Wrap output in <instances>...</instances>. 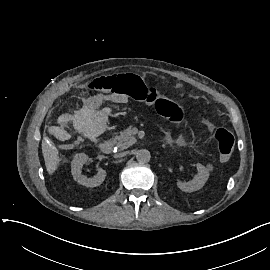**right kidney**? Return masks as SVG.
<instances>
[{"mask_svg":"<svg viewBox=\"0 0 270 270\" xmlns=\"http://www.w3.org/2000/svg\"><path fill=\"white\" fill-rule=\"evenodd\" d=\"M89 162V157L82 153L75 155L74 160L72 161V175L75 181L78 182V184L94 188L100 186L106 177V171L99 167L98 173L93 178H86L82 175L81 169L85 163Z\"/></svg>","mask_w":270,"mask_h":270,"instance_id":"obj_1","label":"right kidney"}]
</instances>
